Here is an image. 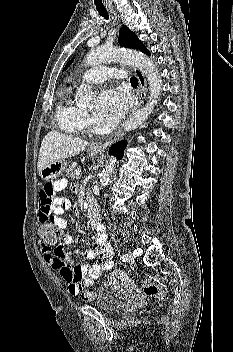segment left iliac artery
Instances as JSON below:
<instances>
[{
  "instance_id": "44dca946",
  "label": "left iliac artery",
  "mask_w": 233,
  "mask_h": 352,
  "mask_svg": "<svg viewBox=\"0 0 233 352\" xmlns=\"http://www.w3.org/2000/svg\"><path fill=\"white\" fill-rule=\"evenodd\" d=\"M121 259H122L123 262H126L127 259H128L127 254H123V255L121 256Z\"/></svg>"
}]
</instances>
